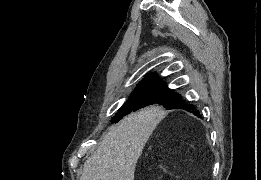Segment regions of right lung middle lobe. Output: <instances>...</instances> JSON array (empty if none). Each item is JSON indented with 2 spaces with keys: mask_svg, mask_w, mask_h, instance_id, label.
Instances as JSON below:
<instances>
[{
  "mask_svg": "<svg viewBox=\"0 0 261 180\" xmlns=\"http://www.w3.org/2000/svg\"><path fill=\"white\" fill-rule=\"evenodd\" d=\"M181 96L165 86V83H159L149 86H139L137 90L130 95L128 100L119 109L112 122H118L124 115L136 111L151 104L163 105L166 109H174L182 103Z\"/></svg>",
  "mask_w": 261,
  "mask_h": 180,
  "instance_id": "right-lung-middle-lobe-1",
  "label": "right lung middle lobe"
}]
</instances>
